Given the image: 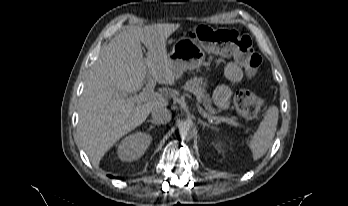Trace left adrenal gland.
<instances>
[{
	"instance_id": "1",
	"label": "left adrenal gland",
	"mask_w": 348,
	"mask_h": 206,
	"mask_svg": "<svg viewBox=\"0 0 348 206\" xmlns=\"http://www.w3.org/2000/svg\"><path fill=\"white\" fill-rule=\"evenodd\" d=\"M198 123H199L200 125H202L203 128H205V127H210V128H212V129H214V126H212V125H210L209 123H207V122L201 120L200 118H198Z\"/></svg>"
}]
</instances>
